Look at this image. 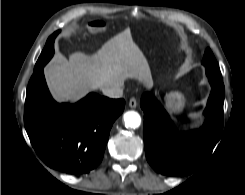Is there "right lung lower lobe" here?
<instances>
[{
    "label": "right lung lower lobe",
    "mask_w": 245,
    "mask_h": 195,
    "mask_svg": "<svg viewBox=\"0 0 245 195\" xmlns=\"http://www.w3.org/2000/svg\"><path fill=\"white\" fill-rule=\"evenodd\" d=\"M124 106L123 99L95 93L76 104H58L48 91L41 68L28 84L24 124L33 148L47 166L83 174L101 162L112 124Z\"/></svg>",
    "instance_id": "1"
}]
</instances>
